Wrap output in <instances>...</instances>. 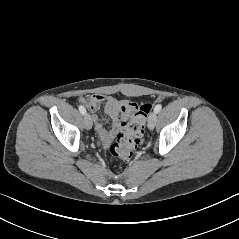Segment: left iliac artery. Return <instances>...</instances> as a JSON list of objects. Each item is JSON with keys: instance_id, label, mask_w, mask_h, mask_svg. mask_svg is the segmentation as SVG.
<instances>
[{"instance_id": "obj_1", "label": "left iliac artery", "mask_w": 239, "mask_h": 239, "mask_svg": "<svg viewBox=\"0 0 239 239\" xmlns=\"http://www.w3.org/2000/svg\"><path fill=\"white\" fill-rule=\"evenodd\" d=\"M161 108H162V105H161V104H157V105L155 106V108H154V111H155L156 113H158V112H160Z\"/></svg>"}]
</instances>
